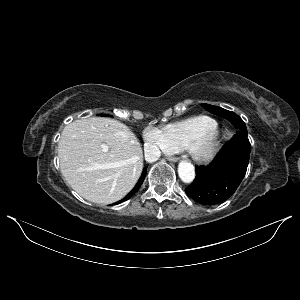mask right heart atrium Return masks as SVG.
Returning a JSON list of instances; mask_svg holds the SVG:
<instances>
[{
    "label": "right heart atrium",
    "instance_id": "1",
    "mask_svg": "<svg viewBox=\"0 0 300 300\" xmlns=\"http://www.w3.org/2000/svg\"><path fill=\"white\" fill-rule=\"evenodd\" d=\"M143 136L150 155L172 153V149L161 129L149 127L144 131Z\"/></svg>",
    "mask_w": 300,
    "mask_h": 300
}]
</instances>
